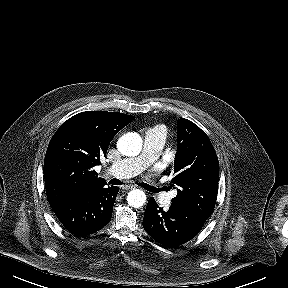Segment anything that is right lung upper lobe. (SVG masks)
<instances>
[{
	"label": "right lung upper lobe",
	"instance_id": "cb5924a9",
	"mask_svg": "<svg viewBox=\"0 0 288 288\" xmlns=\"http://www.w3.org/2000/svg\"><path fill=\"white\" fill-rule=\"evenodd\" d=\"M134 119L116 112H81L65 121L52 137L44 161L49 203L105 186L93 169L114 136Z\"/></svg>",
	"mask_w": 288,
	"mask_h": 288
}]
</instances>
